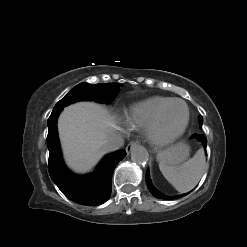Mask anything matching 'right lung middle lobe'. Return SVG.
I'll return each mask as SVG.
<instances>
[{
  "label": "right lung middle lobe",
  "mask_w": 247,
  "mask_h": 247,
  "mask_svg": "<svg viewBox=\"0 0 247 247\" xmlns=\"http://www.w3.org/2000/svg\"><path fill=\"white\" fill-rule=\"evenodd\" d=\"M117 83L88 84L82 83L67 93L54 108H63L71 103L81 100H94L97 102H110L118 93Z\"/></svg>",
  "instance_id": "1"
}]
</instances>
